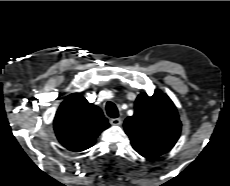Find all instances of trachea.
<instances>
[{"mask_svg":"<svg viewBox=\"0 0 230 186\" xmlns=\"http://www.w3.org/2000/svg\"><path fill=\"white\" fill-rule=\"evenodd\" d=\"M106 112L107 115L111 118H117L118 117V109L116 105L112 102L106 103Z\"/></svg>","mask_w":230,"mask_h":186,"instance_id":"trachea-1","label":"trachea"}]
</instances>
